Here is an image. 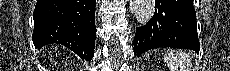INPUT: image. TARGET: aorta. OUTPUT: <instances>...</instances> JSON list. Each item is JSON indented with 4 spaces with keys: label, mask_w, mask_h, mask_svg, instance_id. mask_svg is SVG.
<instances>
[{
    "label": "aorta",
    "mask_w": 230,
    "mask_h": 71,
    "mask_svg": "<svg viewBox=\"0 0 230 71\" xmlns=\"http://www.w3.org/2000/svg\"><path fill=\"white\" fill-rule=\"evenodd\" d=\"M152 0H135L134 13L135 17L141 25L147 24L153 16Z\"/></svg>",
    "instance_id": "aorta-1"
}]
</instances>
